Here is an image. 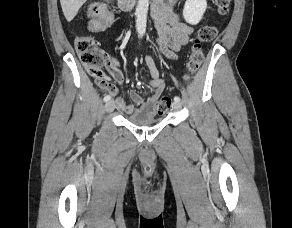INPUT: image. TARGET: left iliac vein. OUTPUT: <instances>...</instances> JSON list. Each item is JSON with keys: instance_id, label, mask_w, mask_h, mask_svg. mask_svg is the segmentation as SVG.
Here are the masks:
<instances>
[{"instance_id": "1", "label": "left iliac vein", "mask_w": 292, "mask_h": 228, "mask_svg": "<svg viewBox=\"0 0 292 228\" xmlns=\"http://www.w3.org/2000/svg\"><path fill=\"white\" fill-rule=\"evenodd\" d=\"M172 107L175 110H179V109H181L182 105H181L180 101L179 102L174 101L172 104Z\"/></svg>"}]
</instances>
